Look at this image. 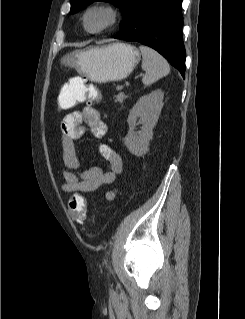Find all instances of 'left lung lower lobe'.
<instances>
[{
    "mask_svg": "<svg viewBox=\"0 0 245 319\" xmlns=\"http://www.w3.org/2000/svg\"><path fill=\"white\" fill-rule=\"evenodd\" d=\"M182 0H139L115 39L139 42L164 56L185 75Z\"/></svg>",
    "mask_w": 245,
    "mask_h": 319,
    "instance_id": "left-lung-lower-lobe-1",
    "label": "left lung lower lobe"
}]
</instances>
